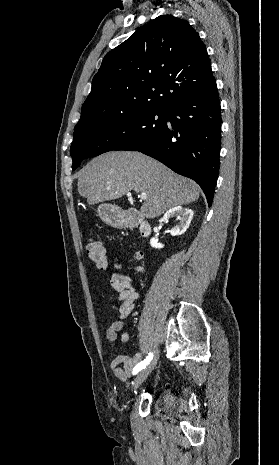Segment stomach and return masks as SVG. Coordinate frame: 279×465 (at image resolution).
Listing matches in <instances>:
<instances>
[{"label": "stomach", "mask_w": 279, "mask_h": 465, "mask_svg": "<svg viewBox=\"0 0 279 465\" xmlns=\"http://www.w3.org/2000/svg\"><path fill=\"white\" fill-rule=\"evenodd\" d=\"M97 213L105 223L113 227L122 228L128 223L124 212L116 205L101 204Z\"/></svg>", "instance_id": "0dacf381"}]
</instances>
